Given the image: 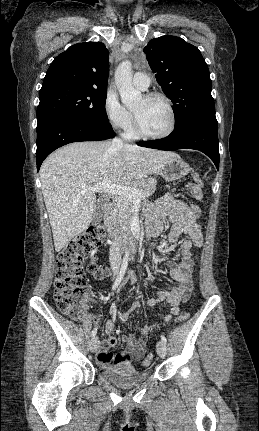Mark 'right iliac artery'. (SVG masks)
<instances>
[{
  "label": "right iliac artery",
  "instance_id": "right-iliac-artery-1",
  "mask_svg": "<svg viewBox=\"0 0 259 431\" xmlns=\"http://www.w3.org/2000/svg\"><path fill=\"white\" fill-rule=\"evenodd\" d=\"M127 265H128V256L125 255L124 258H123V261H122L119 273L117 275V278H116V280L113 283V286H112V290L113 291L116 290L117 287L120 285V283H121V281H122V279L124 277V274L126 272ZM96 333H97V329L94 328L93 331H92V333H91L92 338L95 337Z\"/></svg>",
  "mask_w": 259,
  "mask_h": 431
}]
</instances>
